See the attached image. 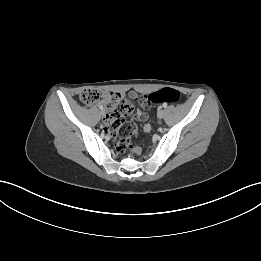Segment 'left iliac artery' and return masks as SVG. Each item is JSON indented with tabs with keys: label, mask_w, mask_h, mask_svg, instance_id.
Listing matches in <instances>:
<instances>
[{
	"label": "left iliac artery",
	"mask_w": 261,
	"mask_h": 261,
	"mask_svg": "<svg viewBox=\"0 0 261 261\" xmlns=\"http://www.w3.org/2000/svg\"><path fill=\"white\" fill-rule=\"evenodd\" d=\"M163 107H164V108L167 107V103H163Z\"/></svg>",
	"instance_id": "obj_1"
}]
</instances>
